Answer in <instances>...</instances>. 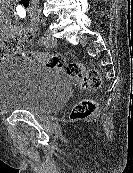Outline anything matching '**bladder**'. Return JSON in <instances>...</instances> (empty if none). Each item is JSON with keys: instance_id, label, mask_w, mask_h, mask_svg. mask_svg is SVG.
Here are the masks:
<instances>
[{"instance_id": "31cf9c89", "label": "bladder", "mask_w": 133, "mask_h": 173, "mask_svg": "<svg viewBox=\"0 0 133 173\" xmlns=\"http://www.w3.org/2000/svg\"><path fill=\"white\" fill-rule=\"evenodd\" d=\"M71 94L69 80L57 71L15 57L0 65V112L57 110Z\"/></svg>"}]
</instances>
